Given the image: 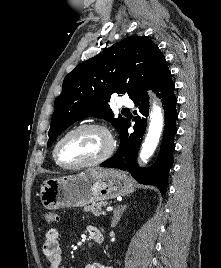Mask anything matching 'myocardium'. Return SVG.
I'll use <instances>...</instances> for the list:
<instances>
[{
    "instance_id": "f54148a6",
    "label": "myocardium",
    "mask_w": 221,
    "mask_h": 268,
    "mask_svg": "<svg viewBox=\"0 0 221 268\" xmlns=\"http://www.w3.org/2000/svg\"><path fill=\"white\" fill-rule=\"evenodd\" d=\"M82 129H96V130H99L102 133H104L105 136L107 137V140H108L107 149L99 157H97L91 161H88V162H85L82 164H77V165L64 164L63 162L60 161V159L58 157V150H59L61 143L69 135H71L72 133H74L76 131L82 130ZM114 151H115L114 138L106 126L99 124V123H83V124L77 125V126L73 127L72 129L68 130L65 134H63L59 138V140L56 142L54 149H53V157H54L55 162L60 167L65 168V169L77 170V169H83V168H87V167H91V166H95V165L103 163L104 161H106L107 159H109L113 155Z\"/></svg>"
}]
</instances>
